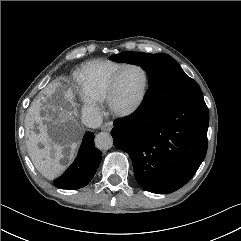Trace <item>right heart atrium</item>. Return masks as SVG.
Listing matches in <instances>:
<instances>
[{
  "instance_id": "1",
  "label": "right heart atrium",
  "mask_w": 241,
  "mask_h": 241,
  "mask_svg": "<svg viewBox=\"0 0 241 241\" xmlns=\"http://www.w3.org/2000/svg\"><path fill=\"white\" fill-rule=\"evenodd\" d=\"M81 103V114L84 121L94 125L101 114L98 102L83 94L81 95Z\"/></svg>"
}]
</instances>
